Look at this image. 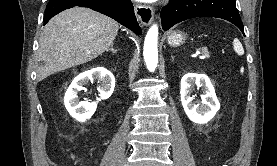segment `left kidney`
Returning a JSON list of instances; mask_svg holds the SVG:
<instances>
[{
    "instance_id": "obj_1",
    "label": "left kidney",
    "mask_w": 277,
    "mask_h": 166,
    "mask_svg": "<svg viewBox=\"0 0 277 166\" xmlns=\"http://www.w3.org/2000/svg\"><path fill=\"white\" fill-rule=\"evenodd\" d=\"M181 103L188 118L197 124H205L210 121L220 109V103L216 97L214 87L210 79L204 74L188 73L181 79ZM201 87L202 102H193L191 92L194 86Z\"/></svg>"
}]
</instances>
